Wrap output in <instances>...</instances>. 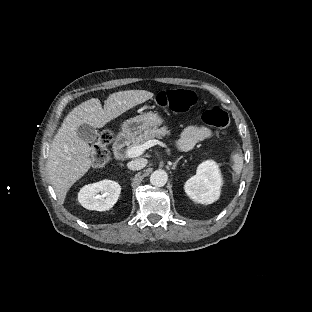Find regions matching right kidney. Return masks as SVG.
Listing matches in <instances>:
<instances>
[{"label":"right kidney","mask_w":312,"mask_h":312,"mask_svg":"<svg viewBox=\"0 0 312 312\" xmlns=\"http://www.w3.org/2000/svg\"><path fill=\"white\" fill-rule=\"evenodd\" d=\"M120 191L117 182L103 180L83 187L79 193V202L88 210L106 211L115 205Z\"/></svg>","instance_id":"ca27d5eb"}]
</instances>
